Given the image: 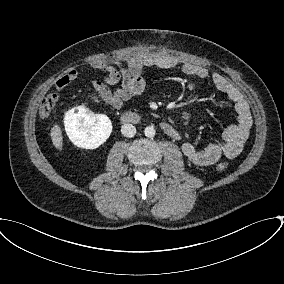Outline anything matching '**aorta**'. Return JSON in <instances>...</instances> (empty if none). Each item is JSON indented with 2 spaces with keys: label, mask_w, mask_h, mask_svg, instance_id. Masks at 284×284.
I'll use <instances>...</instances> for the list:
<instances>
[{
  "label": "aorta",
  "mask_w": 284,
  "mask_h": 284,
  "mask_svg": "<svg viewBox=\"0 0 284 284\" xmlns=\"http://www.w3.org/2000/svg\"><path fill=\"white\" fill-rule=\"evenodd\" d=\"M155 129L153 126H147L144 130V134L146 137L152 138L155 136Z\"/></svg>",
  "instance_id": "aorta-1"
}]
</instances>
